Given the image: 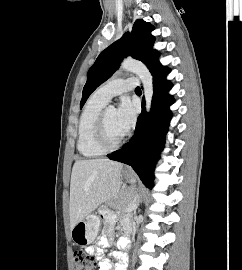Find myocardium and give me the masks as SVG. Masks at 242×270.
Segmentation results:
<instances>
[{"label":"myocardium","instance_id":"obj_1","mask_svg":"<svg viewBox=\"0 0 242 270\" xmlns=\"http://www.w3.org/2000/svg\"><path fill=\"white\" fill-rule=\"evenodd\" d=\"M107 112L108 109L105 108L100 113L96 128H95V141L96 144L105 152L113 151L118 149L127 138V133H125L118 141L111 143L108 139L107 133Z\"/></svg>","mask_w":242,"mask_h":270}]
</instances>
